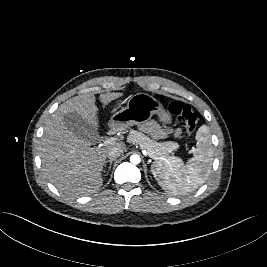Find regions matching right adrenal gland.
<instances>
[{
  "label": "right adrenal gland",
  "instance_id": "right-adrenal-gland-1",
  "mask_svg": "<svg viewBox=\"0 0 267 267\" xmlns=\"http://www.w3.org/2000/svg\"><path fill=\"white\" fill-rule=\"evenodd\" d=\"M113 161H115V159H111V160H108V161L105 162V164H104L105 168L107 167V164L109 163V167H108L107 173L111 170V166H112Z\"/></svg>",
  "mask_w": 267,
  "mask_h": 267
}]
</instances>
